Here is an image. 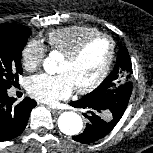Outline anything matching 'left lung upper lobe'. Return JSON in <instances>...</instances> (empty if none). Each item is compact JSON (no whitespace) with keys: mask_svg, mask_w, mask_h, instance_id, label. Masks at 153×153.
<instances>
[{"mask_svg":"<svg viewBox=\"0 0 153 153\" xmlns=\"http://www.w3.org/2000/svg\"><path fill=\"white\" fill-rule=\"evenodd\" d=\"M118 45L121 50L118 52L117 64L113 71L94 91L82 98L85 101L104 104L106 116L116 122H119L124 114L132 92V83L128 81L132 73L129 53L121 44ZM125 72L129 75L124 82Z\"/></svg>","mask_w":153,"mask_h":153,"instance_id":"5c2ea615","label":"left lung upper lobe"}]
</instances>
